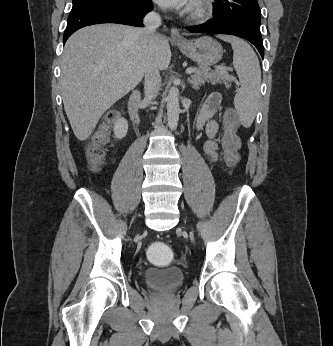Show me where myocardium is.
<instances>
[{
    "label": "myocardium",
    "mask_w": 333,
    "mask_h": 346,
    "mask_svg": "<svg viewBox=\"0 0 333 346\" xmlns=\"http://www.w3.org/2000/svg\"><path fill=\"white\" fill-rule=\"evenodd\" d=\"M212 12V0H195L190 10V16L195 20L205 21L211 17Z\"/></svg>",
    "instance_id": "myocardium-1"
}]
</instances>
